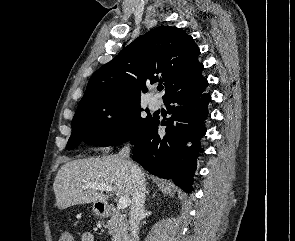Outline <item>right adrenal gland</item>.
<instances>
[{
  "label": "right adrenal gland",
  "instance_id": "1",
  "mask_svg": "<svg viewBox=\"0 0 295 241\" xmlns=\"http://www.w3.org/2000/svg\"><path fill=\"white\" fill-rule=\"evenodd\" d=\"M146 193H147V195H149V190H147V192H146Z\"/></svg>",
  "mask_w": 295,
  "mask_h": 241
}]
</instances>
